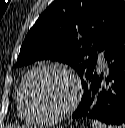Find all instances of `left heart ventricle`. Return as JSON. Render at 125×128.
Masks as SVG:
<instances>
[{"instance_id": "b2bd125f", "label": "left heart ventricle", "mask_w": 125, "mask_h": 128, "mask_svg": "<svg viewBox=\"0 0 125 128\" xmlns=\"http://www.w3.org/2000/svg\"><path fill=\"white\" fill-rule=\"evenodd\" d=\"M74 93L70 80L58 72L41 71L29 81L26 95L37 113L52 114L64 109Z\"/></svg>"}]
</instances>
